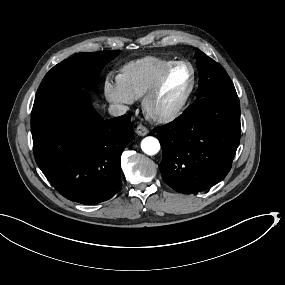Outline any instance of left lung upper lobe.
Returning a JSON list of instances; mask_svg holds the SVG:
<instances>
[{
  "label": "left lung upper lobe",
  "instance_id": "5c2ea615",
  "mask_svg": "<svg viewBox=\"0 0 285 285\" xmlns=\"http://www.w3.org/2000/svg\"><path fill=\"white\" fill-rule=\"evenodd\" d=\"M199 71V97L216 93H234V85L221 65L198 50L195 54Z\"/></svg>",
  "mask_w": 285,
  "mask_h": 285
}]
</instances>
